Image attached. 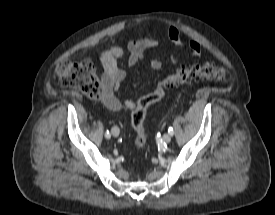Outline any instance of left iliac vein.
Returning a JSON list of instances; mask_svg holds the SVG:
<instances>
[{
	"instance_id": "left-iliac-vein-1",
	"label": "left iliac vein",
	"mask_w": 275,
	"mask_h": 215,
	"mask_svg": "<svg viewBox=\"0 0 275 215\" xmlns=\"http://www.w3.org/2000/svg\"><path fill=\"white\" fill-rule=\"evenodd\" d=\"M162 140L165 142V143H169L171 141V135L169 133L167 134H164L163 137H162Z\"/></svg>"
}]
</instances>
